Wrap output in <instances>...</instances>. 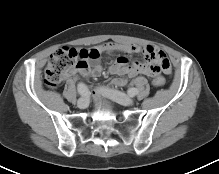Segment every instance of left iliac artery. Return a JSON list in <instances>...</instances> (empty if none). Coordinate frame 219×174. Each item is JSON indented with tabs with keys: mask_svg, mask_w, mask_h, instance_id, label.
Listing matches in <instances>:
<instances>
[{
	"mask_svg": "<svg viewBox=\"0 0 219 174\" xmlns=\"http://www.w3.org/2000/svg\"><path fill=\"white\" fill-rule=\"evenodd\" d=\"M128 94H129L130 96H135V95L138 94V90H137L136 88H130V89L128 90Z\"/></svg>",
	"mask_w": 219,
	"mask_h": 174,
	"instance_id": "1",
	"label": "left iliac artery"
}]
</instances>
